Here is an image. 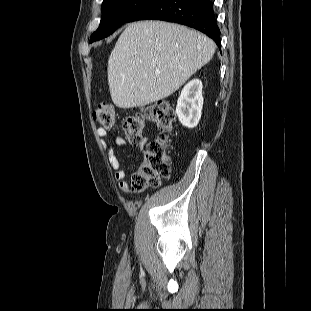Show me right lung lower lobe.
I'll return each mask as SVG.
<instances>
[{
	"label": "right lung lower lobe",
	"mask_w": 311,
	"mask_h": 311,
	"mask_svg": "<svg viewBox=\"0 0 311 311\" xmlns=\"http://www.w3.org/2000/svg\"><path fill=\"white\" fill-rule=\"evenodd\" d=\"M163 20L197 29L212 38L220 48V30L210 0H153L127 22Z\"/></svg>",
	"instance_id": "obj_1"
}]
</instances>
